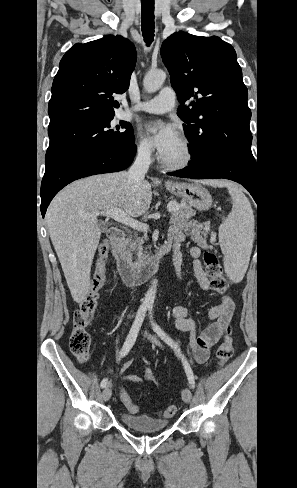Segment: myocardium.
I'll return each instance as SVG.
<instances>
[{
	"label": "myocardium",
	"mask_w": 297,
	"mask_h": 488,
	"mask_svg": "<svg viewBox=\"0 0 297 488\" xmlns=\"http://www.w3.org/2000/svg\"><path fill=\"white\" fill-rule=\"evenodd\" d=\"M180 140L182 141L184 148V156L181 160L171 162L161 158L160 162L162 166L168 170H182L191 165L194 160V147L191 140L185 136L181 135Z\"/></svg>",
	"instance_id": "myocardium-1"
}]
</instances>
